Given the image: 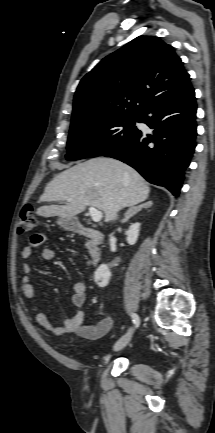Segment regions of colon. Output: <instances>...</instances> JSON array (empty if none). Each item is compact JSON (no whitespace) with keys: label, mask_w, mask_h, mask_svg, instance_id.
I'll list each match as a JSON object with an SVG mask.
<instances>
[{"label":"colon","mask_w":215,"mask_h":433,"mask_svg":"<svg viewBox=\"0 0 215 433\" xmlns=\"http://www.w3.org/2000/svg\"><path fill=\"white\" fill-rule=\"evenodd\" d=\"M37 226V218L31 205H25L20 211L17 231L19 234H27L33 231Z\"/></svg>","instance_id":"1"}]
</instances>
